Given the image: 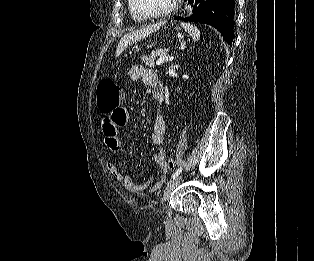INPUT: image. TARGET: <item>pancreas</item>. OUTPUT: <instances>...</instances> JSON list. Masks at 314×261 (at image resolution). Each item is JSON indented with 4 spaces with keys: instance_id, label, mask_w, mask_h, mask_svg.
<instances>
[{
    "instance_id": "obj_1",
    "label": "pancreas",
    "mask_w": 314,
    "mask_h": 261,
    "mask_svg": "<svg viewBox=\"0 0 314 261\" xmlns=\"http://www.w3.org/2000/svg\"><path fill=\"white\" fill-rule=\"evenodd\" d=\"M167 53L166 49H157L156 51H152L148 55H143L141 60L148 67H154L156 57L165 56Z\"/></svg>"
}]
</instances>
